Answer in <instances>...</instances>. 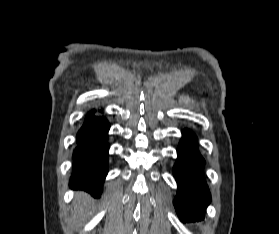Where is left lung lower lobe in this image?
<instances>
[{
	"mask_svg": "<svg viewBox=\"0 0 279 234\" xmlns=\"http://www.w3.org/2000/svg\"><path fill=\"white\" fill-rule=\"evenodd\" d=\"M177 155L173 169L179 188L174 200L175 209L183 222L202 220L211 198L201 171L205 161L190 130H183Z\"/></svg>",
	"mask_w": 279,
	"mask_h": 234,
	"instance_id": "0a47b994",
	"label": "left lung lower lobe"
}]
</instances>
